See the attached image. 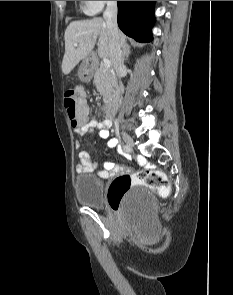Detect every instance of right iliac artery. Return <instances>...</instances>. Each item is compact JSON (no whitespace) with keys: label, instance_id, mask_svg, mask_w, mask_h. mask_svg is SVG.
<instances>
[{"label":"right iliac artery","instance_id":"82829eb1","mask_svg":"<svg viewBox=\"0 0 233 295\" xmlns=\"http://www.w3.org/2000/svg\"><path fill=\"white\" fill-rule=\"evenodd\" d=\"M126 147H127V144H124L123 150H125V153H128V148H126Z\"/></svg>","mask_w":233,"mask_h":295}]
</instances>
